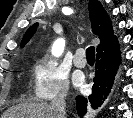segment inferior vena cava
I'll return each instance as SVG.
<instances>
[{
  "label": "inferior vena cava",
  "instance_id": "obj_1",
  "mask_svg": "<svg viewBox=\"0 0 133 118\" xmlns=\"http://www.w3.org/2000/svg\"><path fill=\"white\" fill-rule=\"evenodd\" d=\"M65 97L66 92H62L59 94L57 98H55L51 103V108L53 110L55 118H65Z\"/></svg>",
  "mask_w": 133,
  "mask_h": 118
}]
</instances>
